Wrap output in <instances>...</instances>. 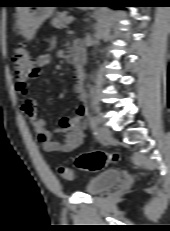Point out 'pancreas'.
<instances>
[{"instance_id": "obj_1", "label": "pancreas", "mask_w": 170, "mask_h": 231, "mask_svg": "<svg viewBox=\"0 0 170 231\" xmlns=\"http://www.w3.org/2000/svg\"><path fill=\"white\" fill-rule=\"evenodd\" d=\"M70 17L67 16V12H61L59 13L54 19L51 21V25L55 28H64L66 27L67 20Z\"/></svg>"}]
</instances>
